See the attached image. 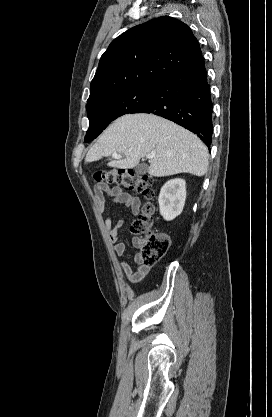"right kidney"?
Returning a JSON list of instances; mask_svg holds the SVG:
<instances>
[{"label":"right kidney","instance_id":"right-kidney-1","mask_svg":"<svg viewBox=\"0 0 272 417\" xmlns=\"http://www.w3.org/2000/svg\"><path fill=\"white\" fill-rule=\"evenodd\" d=\"M186 199V182L183 179H171L161 188L158 202L160 214L171 221L181 214Z\"/></svg>","mask_w":272,"mask_h":417}]
</instances>
